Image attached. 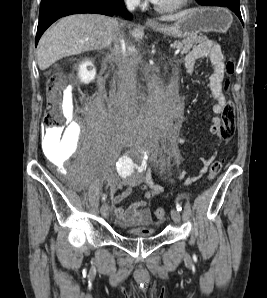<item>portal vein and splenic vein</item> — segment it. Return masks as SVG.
Listing matches in <instances>:
<instances>
[{"label":"portal vein and splenic vein","mask_w":267,"mask_h":298,"mask_svg":"<svg viewBox=\"0 0 267 298\" xmlns=\"http://www.w3.org/2000/svg\"><path fill=\"white\" fill-rule=\"evenodd\" d=\"M180 53V49L178 48L175 52H174V54L175 55H178Z\"/></svg>","instance_id":"portal-vein-and-splenic-vein-1"}]
</instances>
